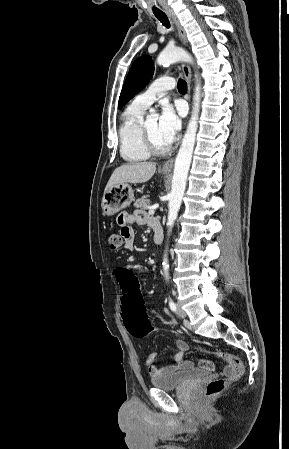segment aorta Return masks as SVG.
Listing matches in <instances>:
<instances>
[{
    "mask_svg": "<svg viewBox=\"0 0 289 449\" xmlns=\"http://www.w3.org/2000/svg\"><path fill=\"white\" fill-rule=\"evenodd\" d=\"M178 61H184L191 64L193 63L191 55L180 47L166 48L159 54L157 58V63L159 65H169ZM200 94H201V85L200 82L197 81L193 96L192 115L187 125V129L184 134L182 144L180 146L179 152L175 160L174 174L172 178V189L168 203L169 212H168L167 225L169 227V231L172 229L174 222L177 218L186 187L188 171L192 160L196 133L198 128V116L200 111ZM155 116H156L155 112L151 110V115L148 116V118ZM162 264L164 275L166 279H169V272H168L169 264L166 254L164 255Z\"/></svg>",
    "mask_w": 289,
    "mask_h": 449,
    "instance_id": "obj_1",
    "label": "aorta"
}]
</instances>
